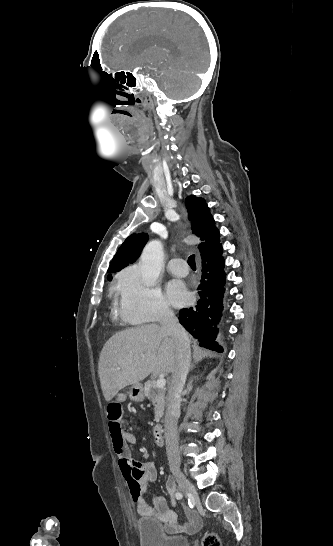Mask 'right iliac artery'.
<instances>
[{"label":"right iliac artery","instance_id":"82829eb1","mask_svg":"<svg viewBox=\"0 0 333 546\" xmlns=\"http://www.w3.org/2000/svg\"><path fill=\"white\" fill-rule=\"evenodd\" d=\"M175 497H176L177 499H181V498L183 497V495H182V493L177 492V493L175 494Z\"/></svg>","mask_w":333,"mask_h":546}]
</instances>
